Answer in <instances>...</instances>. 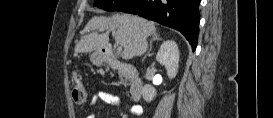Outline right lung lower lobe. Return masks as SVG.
Returning a JSON list of instances; mask_svg holds the SVG:
<instances>
[{
    "mask_svg": "<svg viewBox=\"0 0 273 118\" xmlns=\"http://www.w3.org/2000/svg\"><path fill=\"white\" fill-rule=\"evenodd\" d=\"M200 0H132L119 11L139 15L180 31L197 46Z\"/></svg>",
    "mask_w": 273,
    "mask_h": 118,
    "instance_id": "obj_1",
    "label": "right lung lower lobe"
}]
</instances>
